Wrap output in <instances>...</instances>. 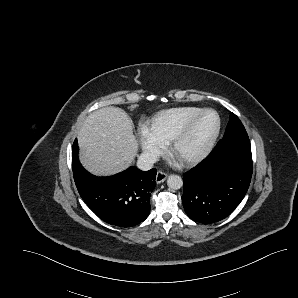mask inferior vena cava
I'll return each mask as SVG.
<instances>
[{
  "mask_svg": "<svg viewBox=\"0 0 298 298\" xmlns=\"http://www.w3.org/2000/svg\"><path fill=\"white\" fill-rule=\"evenodd\" d=\"M159 161V157L152 152H143L137 160V167L142 171H148L153 168V165Z\"/></svg>",
  "mask_w": 298,
  "mask_h": 298,
  "instance_id": "obj_1",
  "label": "inferior vena cava"
}]
</instances>
